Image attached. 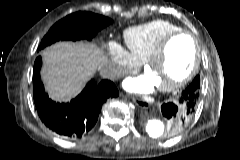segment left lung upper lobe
<instances>
[{"label":"left lung upper lobe","instance_id":"left-lung-upper-lobe-1","mask_svg":"<svg viewBox=\"0 0 240 160\" xmlns=\"http://www.w3.org/2000/svg\"><path fill=\"white\" fill-rule=\"evenodd\" d=\"M191 85L195 86V90L199 91L200 89V77L199 75L195 77V79L193 80V82L191 83ZM188 120V118H187ZM188 122H186L185 124L182 122L181 124H177L175 125L174 122L170 121L171 127L174 128L175 130H182Z\"/></svg>","mask_w":240,"mask_h":160}]
</instances>
